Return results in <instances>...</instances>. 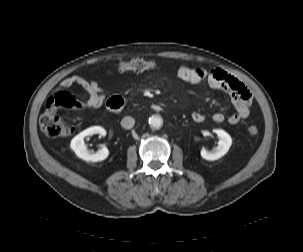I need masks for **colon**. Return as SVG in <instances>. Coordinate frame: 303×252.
I'll list each match as a JSON object with an SVG mask.
<instances>
[{"label": "colon", "instance_id": "1", "mask_svg": "<svg viewBox=\"0 0 303 252\" xmlns=\"http://www.w3.org/2000/svg\"><path fill=\"white\" fill-rule=\"evenodd\" d=\"M157 68V63L152 60L137 59L117 63L115 69L118 72H141ZM86 105L81 103L74 95L67 91H59L51 95L45 105V110L40 118L42 131L50 138H59L71 134L74 129L67 125L59 115L62 110H83ZM259 127L251 124L248 133L254 137L258 134Z\"/></svg>", "mask_w": 303, "mask_h": 252}]
</instances>
